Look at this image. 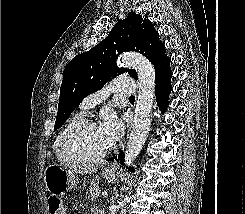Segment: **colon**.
Listing matches in <instances>:
<instances>
[{
  "label": "colon",
  "mask_w": 245,
  "mask_h": 214,
  "mask_svg": "<svg viewBox=\"0 0 245 214\" xmlns=\"http://www.w3.org/2000/svg\"><path fill=\"white\" fill-rule=\"evenodd\" d=\"M49 210L51 214H64L61 202L57 198L49 199Z\"/></svg>",
  "instance_id": "1"
}]
</instances>
